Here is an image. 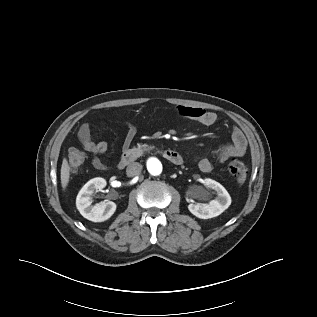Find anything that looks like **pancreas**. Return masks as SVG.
Here are the masks:
<instances>
[{
    "label": "pancreas",
    "instance_id": "pancreas-1",
    "mask_svg": "<svg viewBox=\"0 0 317 317\" xmlns=\"http://www.w3.org/2000/svg\"><path fill=\"white\" fill-rule=\"evenodd\" d=\"M149 147L148 145L144 144V145H140L138 144L137 147H133L132 149L128 150V154H132L133 157H138L141 156L143 154V152L145 150H148Z\"/></svg>",
    "mask_w": 317,
    "mask_h": 317
}]
</instances>
